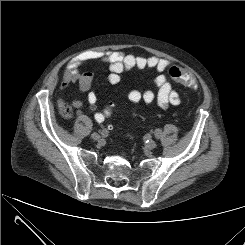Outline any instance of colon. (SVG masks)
Returning <instances> with one entry per match:
<instances>
[{"label":"colon","mask_w":245,"mask_h":245,"mask_svg":"<svg viewBox=\"0 0 245 245\" xmlns=\"http://www.w3.org/2000/svg\"><path fill=\"white\" fill-rule=\"evenodd\" d=\"M169 76L176 82H179L180 84L187 86V87H195L196 80L192 72H190L187 69L173 66L168 70ZM62 113L65 117H70L72 115V107L69 106L66 103H63L61 106ZM106 113H110V109L106 110Z\"/></svg>","instance_id":"colon-1"}]
</instances>
